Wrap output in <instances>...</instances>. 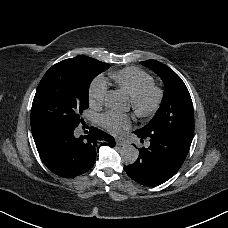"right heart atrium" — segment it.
<instances>
[{
	"instance_id": "d8ad5b80",
	"label": "right heart atrium",
	"mask_w": 228,
	"mask_h": 228,
	"mask_svg": "<svg viewBox=\"0 0 228 228\" xmlns=\"http://www.w3.org/2000/svg\"><path fill=\"white\" fill-rule=\"evenodd\" d=\"M106 86L102 81L96 82L89 92V104L93 108H100L106 101Z\"/></svg>"
}]
</instances>
